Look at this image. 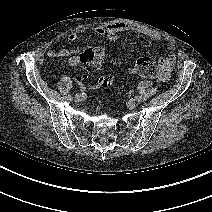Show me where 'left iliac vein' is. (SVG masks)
<instances>
[{"mask_svg": "<svg viewBox=\"0 0 212 212\" xmlns=\"http://www.w3.org/2000/svg\"><path fill=\"white\" fill-rule=\"evenodd\" d=\"M136 106H137V103H136L135 100H130V101L128 102V107H129L130 109H134V108H136Z\"/></svg>", "mask_w": 212, "mask_h": 212, "instance_id": "4c4485c4", "label": "left iliac vein"}]
</instances>
